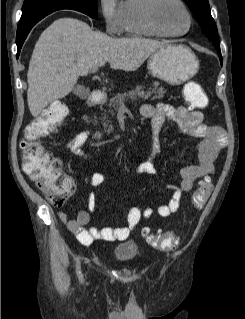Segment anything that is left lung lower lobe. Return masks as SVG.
<instances>
[{
	"mask_svg": "<svg viewBox=\"0 0 245 319\" xmlns=\"http://www.w3.org/2000/svg\"><path fill=\"white\" fill-rule=\"evenodd\" d=\"M217 50H218L219 54H221L220 49H217ZM220 62L222 63V59H220Z\"/></svg>",
	"mask_w": 245,
	"mask_h": 319,
	"instance_id": "obj_1",
	"label": "left lung lower lobe"
}]
</instances>
